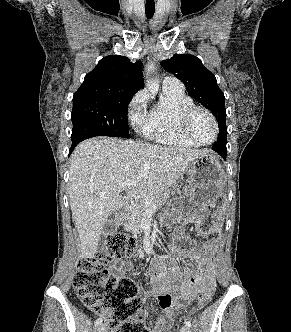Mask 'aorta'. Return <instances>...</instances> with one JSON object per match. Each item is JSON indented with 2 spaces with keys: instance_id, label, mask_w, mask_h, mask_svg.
<instances>
[{
  "instance_id": "1",
  "label": "aorta",
  "mask_w": 291,
  "mask_h": 332,
  "mask_svg": "<svg viewBox=\"0 0 291 332\" xmlns=\"http://www.w3.org/2000/svg\"><path fill=\"white\" fill-rule=\"evenodd\" d=\"M153 69H154V65L152 63L148 64L146 66V69H145L146 78L149 77V75H150V73L152 72ZM148 88H149L150 91H154L155 90V86L151 82H148Z\"/></svg>"
}]
</instances>
